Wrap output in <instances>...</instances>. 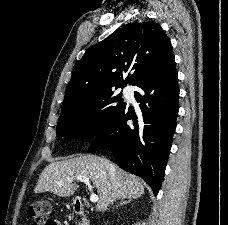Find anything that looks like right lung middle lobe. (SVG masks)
I'll list each match as a JSON object with an SVG mask.
<instances>
[{"label": "right lung middle lobe", "mask_w": 228, "mask_h": 225, "mask_svg": "<svg viewBox=\"0 0 228 225\" xmlns=\"http://www.w3.org/2000/svg\"><path fill=\"white\" fill-rule=\"evenodd\" d=\"M122 102L121 93L115 95L113 90H108L62 106L57 136L84 141L93 139L125 108Z\"/></svg>", "instance_id": "right-lung-middle-lobe-1"}]
</instances>
